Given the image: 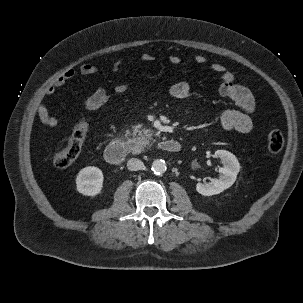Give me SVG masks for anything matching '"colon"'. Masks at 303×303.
I'll return each instance as SVG.
<instances>
[{"label":"colon","mask_w":303,"mask_h":303,"mask_svg":"<svg viewBox=\"0 0 303 303\" xmlns=\"http://www.w3.org/2000/svg\"><path fill=\"white\" fill-rule=\"evenodd\" d=\"M109 97V94H104L100 97L91 99L85 107L89 111L99 110L107 103ZM88 132V120L85 118L80 119L74 127L66 147L54 156L53 162L56 167L65 168L77 159L81 153ZM266 143L271 154H278L284 146L282 133L277 129L268 130L266 133Z\"/></svg>","instance_id":"colon-1"}]
</instances>
